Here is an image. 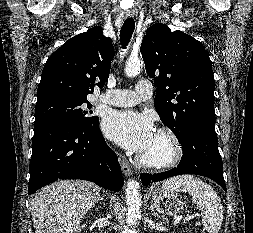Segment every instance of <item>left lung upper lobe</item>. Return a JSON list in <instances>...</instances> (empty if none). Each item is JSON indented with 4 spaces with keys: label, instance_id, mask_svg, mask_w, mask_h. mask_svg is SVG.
<instances>
[{
    "label": "left lung upper lobe",
    "instance_id": "obj_1",
    "mask_svg": "<svg viewBox=\"0 0 253 233\" xmlns=\"http://www.w3.org/2000/svg\"><path fill=\"white\" fill-rule=\"evenodd\" d=\"M146 72L154 78V106L178 141L200 123L215 126L214 76L203 44L155 23L140 47Z\"/></svg>",
    "mask_w": 253,
    "mask_h": 233
}]
</instances>
